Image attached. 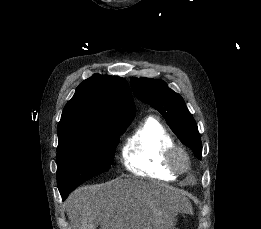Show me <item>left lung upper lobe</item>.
Segmentation results:
<instances>
[{
	"label": "left lung upper lobe",
	"mask_w": 261,
	"mask_h": 229,
	"mask_svg": "<svg viewBox=\"0 0 261 229\" xmlns=\"http://www.w3.org/2000/svg\"><path fill=\"white\" fill-rule=\"evenodd\" d=\"M130 84L134 95L158 110L180 141L190 147L201 160V137L183 98L162 80L133 77Z\"/></svg>",
	"instance_id": "5c2ea615"
}]
</instances>
